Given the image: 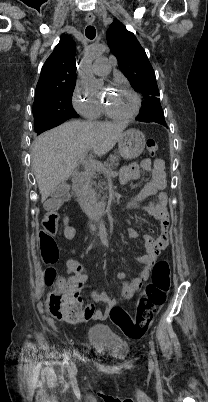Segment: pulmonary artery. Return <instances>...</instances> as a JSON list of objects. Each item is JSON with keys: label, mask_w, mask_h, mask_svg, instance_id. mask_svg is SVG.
Returning <instances> with one entry per match:
<instances>
[{"label": "pulmonary artery", "mask_w": 208, "mask_h": 402, "mask_svg": "<svg viewBox=\"0 0 208 402\" xmlns=\"http://www.w3.org/2000/svg\"><path fill=\"white\" fill-rule=\"evenodd\" d=\"M98 56L102 55V51L97 50L95 53ZM108 59L104 56L99 57L92 65V72L98 75H106L109 72Z\"/></svg>", "instance_id": "obj_1"}]
</instances>
